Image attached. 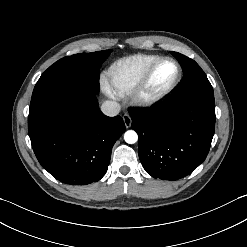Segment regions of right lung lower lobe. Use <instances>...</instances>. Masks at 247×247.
<instances>
[{"mask_svg":"<svg viewBox=\"0 0 247 247\" xmlns=\"http://www.w3.org/2000/svg\"><path fill=\"white\" fill-rule=\"evenodd\" d=\"M124 132L123 119L103 115L95 93L85 89L63 91L29 110L33 151L41 166L66 184L100 180Z\"/></svg>","mask_w":247,"mask_h":247,"instance_id":"obj_1","label":"right lung lower lobe"}]
</instances>
